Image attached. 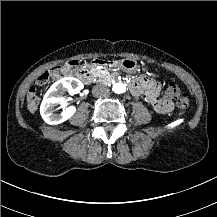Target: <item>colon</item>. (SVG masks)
Listing matches in <instances>:
<instances>
[{
	"label": "colon",
	"instance_id": "5ec220e1",
	"mask_svg": "<svg viewBox=\"0 0 217 217\" xmlns=\"http://www.w3.org/2000/svg\"><path fill=\"white\" fill-rule=\"evenodd\" d=\"M82 67V62L79 59H74L72 62L63 64V66H54L51 70H46L41 74V78L35 81V85L31 86L26 94V106L30 112H35L39 103L38 90L36 87H41L45 84V81L49 80L51 76L62 77L70 75L75 70H79ZM164 92L168 96H174L176 98V105L180 109H186L189 105V97L182 90L180 85L176 81L166 82L164 85Z\"/></svg>",
	"mask_w": 217,
	"mask_h": 217
}]
</instances>
